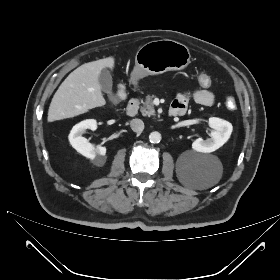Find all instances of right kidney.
I'll use <instances>...</instances> for the list:
<instances>
[{
	"label": "right kidney",
	"mask_w": 280,
	"mask_h": 280,
	"mask_svg": "<svg viewBox=\"0 0 280 280\" xmlns=\"http://www.w3.org/2000/svg\"><path fill=\"white\" fill-rule=\"evenodd\" d=\"M96 130L97 121L95 119H87L73 126L68 138L72 147L82 154L83 156L90 159H105L106 147L97 146L96 148L87 141L86 138L82 137V134L87 130Z\"/></svg>",
	"instance_id": "ca27d5eb"
}]
</instances>
